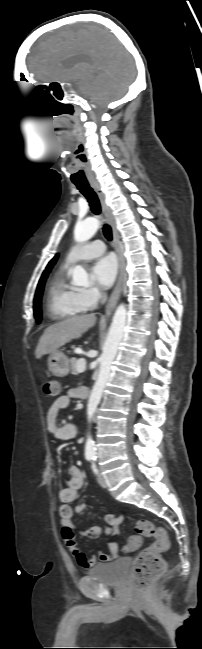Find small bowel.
Returning <instances> with one entry per match:
<instances>
[{
  "label": "small bowel",
  "instance_id": "obj_1",
  "mask_svg": "<svg viewBox=\"0 0 202 649\" xmlns=\"http://www.w3.org/2000/svg\"><path fill=\"white\" fill-rule=\"evenodd\" d=\"M84 389V387L69 389L66 395L57 398L48 408L46 413V427L53 439L68 440L76 435L77 426L73 422L60 425L58 423V416L61 410L69 407L72 398L81 399L84 397ZM68 474V485L60 493V500L64 503L59 511L63 539L74 554L78 564L83 568L94 566L98 560L102 562L110 561L117 555L118 544L116 537L119 535V527L123 521V516L107 514L105 516L106 525L103 528L94 526L85 529L74 525L72 522L74 514L83 513L87 508V504L85 503L77 504L74 508L69 505L77 499L78 492L84 485V475L76 465L69 467ZM102 533L110 537L108 543L109 552L99 551L97 555H88L78 548L77 536L95 539Z\"/></svg>",
  "mask_w": 202,
  "mask_h": 649
}]
</instances>
